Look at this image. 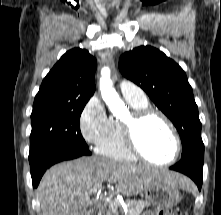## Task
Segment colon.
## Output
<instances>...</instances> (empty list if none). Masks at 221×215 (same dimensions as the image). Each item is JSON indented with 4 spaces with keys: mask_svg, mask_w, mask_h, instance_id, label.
<instances>
[{
    "mask_svg": "<svg viewBox=\"0 0 221 215\" xmlns=\"http://www.w3.org/2000/svg\"><path fill=\"white\" fill-rule=\"evenodd\" d=\"M157 215H185V214L180 212L179 209L169 208V209L158 210Z\"/></svg>",
    "mask_w": 221,
    "mask_h": 215,
    "instance_id": "1",
    "label": "colon"
}]
</instances>
